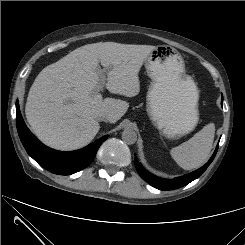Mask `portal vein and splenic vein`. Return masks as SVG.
I'll use <instances>...</instances> for the list:
<instances>
[{
    "instance_id": "portal-vein-and-splenic-vein-1",
    "label": "portal vein and splenic vein",
    "mask_w": 245,
    "mask_h": 245,
    "mask_svg": "<svg viewBox=\"0 0 245 245\" xmlns=\"http://www.w3.org/2000/svg\"><path fill=\"white\" fill-rule=\"evenodd\" d=\"M105 80H106L105 77H102L101 82H100V84L98 86V92L101 91V90H103V87H104V85L106 83Z\"/></svg>"
}]
</instances>
